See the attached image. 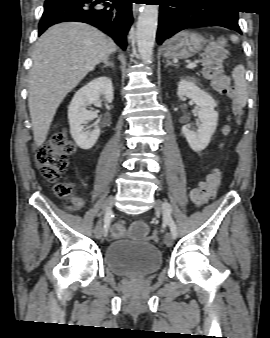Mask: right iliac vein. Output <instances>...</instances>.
I'll return each instance as SVG.
<instances>
[{"label":"right iliac vein","instance_id":"1","mask_svg":"<svg viewBox=\"0 0 270 338\" xmlns=\"http://www.w3.org/2000/svg\"><path fill=\"white\" fill-rule=\"evenodd\" d=\"M114 204V198L112 196L108 197L105 201H104V204H103V208H102V215H106V213L111 210L112 206ZM102 217L99 219V221L97 222L96 224V227H95V230H94V234H95V237L97 239H99L102 235Z\"/></svg>","mask_w":270,"mask_h":338}]
</instances>
